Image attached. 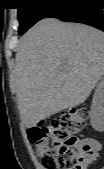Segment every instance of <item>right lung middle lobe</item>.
<instances>
[{
    "label": "right lung middle lobe",
    "mask_w": 104,
    "mask_h": 169,
    "mask_svg": "<svg viewBox=\"0 0 104 169\" xmlns=\"http://www.w3.org/2000/svg\"><path fill=\"white\" fill-rule=\"evenodd\" d=\"M63 0H18L19 34L25 33L53 11Z\"/></svg>",
    "instance_id": "1"
}]
</instances>
